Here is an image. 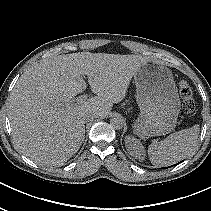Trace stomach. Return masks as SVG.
Listing matches in <instances>:
<instances>
[{
	"label": "stomach",
	"instance_id": "stomach-1",
	"mask_svg": "<svg viewBox=\"0 0 211 211\" xmlns=\"http://www.w3.org/2000/svg\"><path fill=\"white\" fill-rule=\"evenodd\" d=\"M140 115L135 132L143 139L174 130L180 112V99L173 74L165 65L147 60L134 75Z\"/></svg>",
	"mask_w": 211,
	"mask_h": 211
}]
</instances>
